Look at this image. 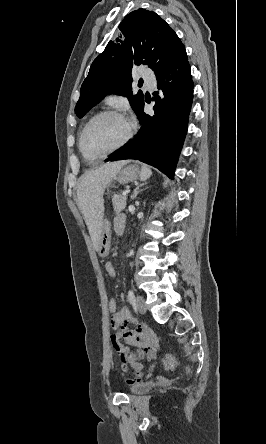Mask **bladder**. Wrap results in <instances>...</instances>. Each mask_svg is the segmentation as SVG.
I'll return each mask as SVG.
<instances>
[{
  "mask_svg": "<svg viewBox=\"0 0 266 444\" xmlns=\"http://www.w3.org/2000/svg\"><path fill=\"white\" fill-rule=\"evenodd\" d=\"M153 388H154V385L152 383L134 384L130 388V393L133 395H143V394L150 392Z\"/></svg>",
  "mask_w": 266,
  "mask_h": 444,
  "instance_id": "1",
  "label": "bladder"
}]
</instances>
